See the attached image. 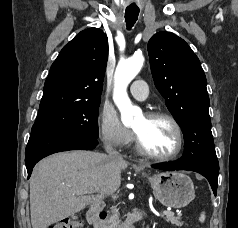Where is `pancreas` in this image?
<instances>
[{
    "instance_id": "pancreas-1",
    "label": "pancreas",
    "mask_w": 238,
    "mask_h": 228,
    "mask_svg": "<svg viewBox=\"0 0 238 228\" xmlns=\"http://www.w3.org/2000/svg\"><path fill=\"white\" fill-rule=\"evenodd\" d=\"M111 213H112V215L109 218L107 228H120L121 220L119 219V213H118L117 207H113L111 209ZM163 218L167 222H169L173 225H176V226H181L183 224V222L180 220V218L176 217L174 215L173 216L165 215V216H163Z\"/></svg>"
}]
</instances>
